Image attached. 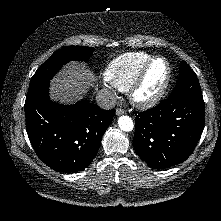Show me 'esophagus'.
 Instances as JSON below:
<instances>
[{
  "instance_id": "esophagus-1",
  "label": "esophagus",
  "mask_w": 221,
  "mask_h": 221,
  "mask_svg": "<svg viewBox=\"0 0 221 221\" xmlns=\"http://www.w3.org/2000/svg\"><path fill=\"white\" fill-rule=\"evenodd\" d=\"M125 113V110L124 109H122V108H118L117 110H116V115H122V114H124Z\"/></svg>"
}]
</instances>
